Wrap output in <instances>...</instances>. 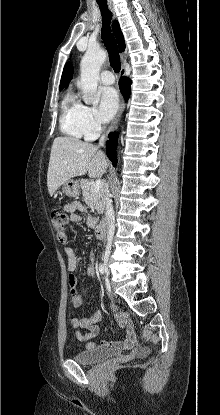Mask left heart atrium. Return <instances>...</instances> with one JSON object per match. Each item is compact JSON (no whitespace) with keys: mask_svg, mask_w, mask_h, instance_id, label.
Listing matches in <instances>:
<instances>
[{"mask_svg":"<svg viewBox=\"0 0 220 415\" xmlns=\"http://www.w3.org/2000/svg\"><path fill=\"white\" fill-rule=\"evenodd\" d=\"M119 106V98L116 90L112 87H103L99 90V105L97 109L98 118L104 122L110 121Z\"/></svg>","mask_w":220,"mask_h":415,"instance_id":"1","label":"left heart atrium"}]
</instances>
